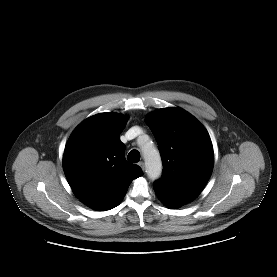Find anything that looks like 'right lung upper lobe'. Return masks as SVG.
Here are the masks:
<instances>
[{
	"label": "right lung upper lobe",
	"instance_id": "cb5924a9",
	"mask_svg": "<svg viewBox=\"0 0 277 277\" xmlns=\"http://www.w3.org/2000/svg\"><path fill=\"white\" fill-rule=\"evenodd\" d=\"M127 118L100 113L87 118L71 134L64 151L63 169L74 194L92 209L105 211L125 196L139 166L125 160L120 134Z\"/></svg>",
	"mask_w": 277,
	"mask_h": 277
}]
</instances>
